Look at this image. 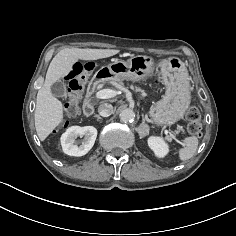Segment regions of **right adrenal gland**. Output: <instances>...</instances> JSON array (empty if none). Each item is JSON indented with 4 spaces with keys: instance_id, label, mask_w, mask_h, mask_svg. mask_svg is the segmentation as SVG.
I'll use <instances>...</instances> for the list:
<instances>
[{
    "instance_id": "1",
    "label": "right adrenal gland",
    "mask_w": 236,
    "mask_h": 236,
    "mask_svg": "<svg viewBox=\"0 0 236 236\" xmlns=\"http://www.w3.org/2000/svg\"><path fill=\"white\" fill-rule=\"evenodd\" d=\"M94 117H96L98 120H100V121H102L103 120V118L102 117H100L99 115H95Z\"/></svg>"
}]
</instances>
